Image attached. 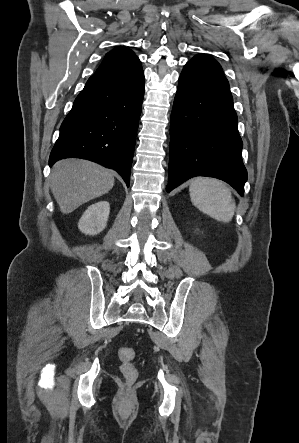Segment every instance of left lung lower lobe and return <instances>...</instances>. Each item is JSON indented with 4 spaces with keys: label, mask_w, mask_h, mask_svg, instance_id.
<instances>
[{
    "label": "left lung lower lobe",
    "mask_w": 299,
    "mask_h": 443,
    "mask_svg": "<svg viewBox=\"0 0 299 443\" xmlns=\"http://www.w3.org/2000/svg\"><path fill=\"white\" fill-rule=\"evenodd\" d=\"M170 192L195 176L221 179L240 195L247 171L243 143L228 80L196 65L186 64L179 78L170 125Z\"/></svg>",
    "instance_id": "1"
}]
</instances>
